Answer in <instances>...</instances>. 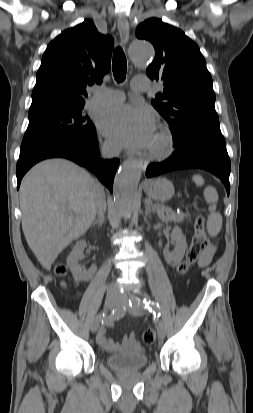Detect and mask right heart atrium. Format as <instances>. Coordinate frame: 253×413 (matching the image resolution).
<instances>
[{
  "label": "right heart atrium",
  "instance_id": "d8ad5b80",
  "mask_svg": "<svg viewBox=\"0 0 253 413\" xmlns=\"http://www.w3.org/2000/svg\"><path fill=\"white\" fill-rule=\"evenodd\" d=\"M103 151L109 155L115 154L118 151V147L115 143L108 140V141H105L103 145Z\"/></svg>",
  "mask_w": 253,
  "mask_h": 413
}]
</instances>
